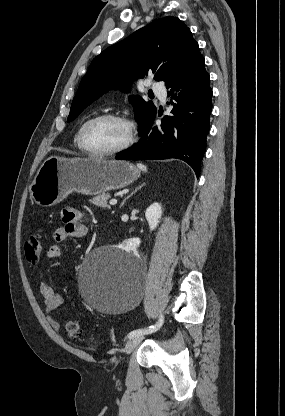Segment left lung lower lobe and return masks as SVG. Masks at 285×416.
<instances>
[{
  "mask_svg": "<svg viewBox=\"0 0 285 416\" xmlns=\"http://www.w3.org/2000/svg\"><path fill=\"white\" fill-rule=\"evenodd\" d=\"M172 100L173 116H165L160 126L155 117L140 130L142 138L133 147L115 158L120 160L181 159L200 174L201 160L206 150L209 117L212 111V89L205 70L203 56L197 58L183 74L166 86Z\"/></svg>",
  "mask_w": 285,
  "mask_h": 416,
  "instance_id": "obj_1",
  "label": "left lung lower lobe"
}]
</instances>
